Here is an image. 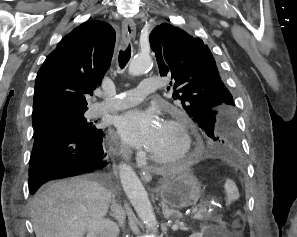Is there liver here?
<instances>
[{
  "instance_id": "liver-1",
  "label": "liver",
  "mask_w": 297,
  "mask_h": 237,
  "mask_svg": "<svg viewBox=\"0 0 297 237\" xmlns=\"http://www.w3.org/2000/svg\"><path fill=\"white\" fill-rule=\"evenodd\" d=\"M111 196L87 176L48 183L30 202L36 237H83L91 222L106 216Z\"/></svg>"
}]
</instances>
